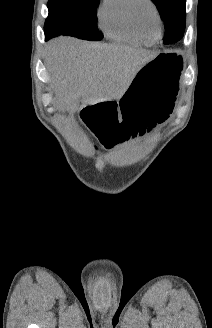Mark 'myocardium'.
<instances>
[{
    "mask_svg": "<svg viewBox=\"0 0 212 328\" xmlns=\"http://www.w3.org/2000/svg\"><path fill=\"white\" fill-rule=\"evenodd\" d=\"M131 1H132V3L130 5L129 15H130L131 22H132L134 28L136 29V31L140 34H142L144 32V29L142 28V26L138 20V17H137V8L140 4L144 3V4H147L148 6H150L155 14V18H156V22H157L156 33H157V37H159L161 30H162V18H161L160 11L157 8L156 4L153 2V0H131Z\"/></svg>",
    "mask_w": 212,
    "mask_h": 328,
    "instance_id": "obj_1",
    "label": "myocardium"
}]
</instances>
